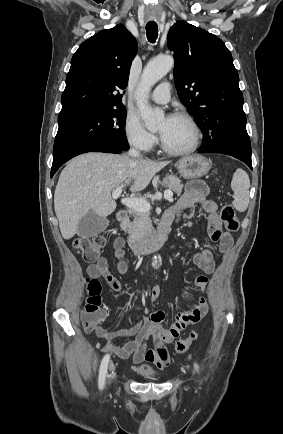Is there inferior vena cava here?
Segmentation results:
<instances>
[{
    "label": "inferior vena cava",
    "mask_w": 283,
    "mask_h": 434,
    "mask_svg": "<svg viewBox=\"0 0 283 434\" xmlns=\"http://www.w3.org/2000/svg\"><path fill=\"white\" fill-rule=\"evenodd\" d=\"M128 155L130 157H133V158H139L140 157V152L137 149L132 148V149L129 150Z\"/></svg>",
    "instance_id": "obj_1"
}]
</instances>
